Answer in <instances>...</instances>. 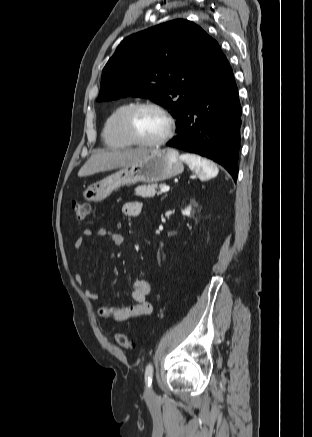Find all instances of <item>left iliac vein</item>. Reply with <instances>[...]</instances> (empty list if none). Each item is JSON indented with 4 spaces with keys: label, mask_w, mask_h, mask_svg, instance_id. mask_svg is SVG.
<instances>
[{
    "label": "left iliac vein",
    "mask_w": 312,
    "mask_h": 437,
    "mask_svg": "<svg viewBox=\"0 0 312 437\" xmlns=\"http://www.w3.org/2000/svg\"><path fill=\"white\" fill-rule=\"evenodd\" d=\"M145 394H146V396L150 397V396H152L153 393H151L147 390Z\"/></svg>",
    "instance_id": "left-iliac-vein-1"
}]
</instances>
